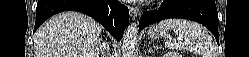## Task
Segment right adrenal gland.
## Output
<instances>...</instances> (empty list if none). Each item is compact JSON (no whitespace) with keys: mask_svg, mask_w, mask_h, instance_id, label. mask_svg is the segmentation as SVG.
Listing matches in <instances>:
<instances>
[{"mask_svg":"<svg viewBox=\"0 0 249 57\" xmlns=\"http://www.w3.org/2000/svg\"><path fill=\"white\" fill-rule=\"evenodd\" d=\"M98 45H99V49H100V51H101L102 53H103L104 50L108 51V50H107V49H108V46L106 45V43H105L102 39H100ZM98 53H100V52H98Z\"/></svg>","mask_w":249,"mask_h":57,"instance_id":"right-adrenal-gland-1","label":"right adrenal gland"}]
</instances>
